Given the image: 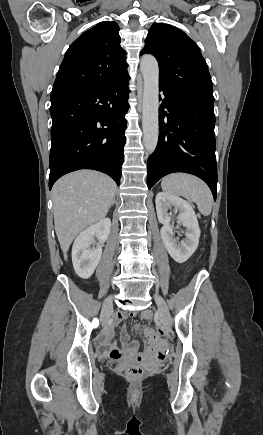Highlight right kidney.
<instances>
[{
	"label": "right kidney",
	"mask_w": 263,
	"mask_h": 435,
	"mask_svg": "<svg viewBox=\"0 0 263 435\" xmlns=\"http://www.w3.org/2000/svg\"><path fill=\"white\" fill-rule=\"evenodd\" d=\"M111 228V220L103 218L91 225L77 236L72 247V262L76 274L88 279L94 273L102 255V245L107 240ZM94 237L99 243L90 248Z\"/></svg>",
	"instance_id": "obj_1"
}]
</instances>
